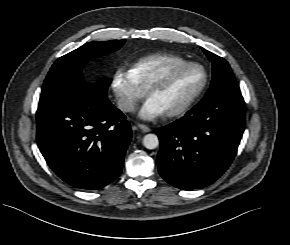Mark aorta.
Returning <instances> with one entry per match:
<instances>
[{"instance_id":"obj_1","label":"aorta","mask_w":290,"mask_h":245,"mask_svg":"<svg viewBox=\"0 0 290 245\" xmlns=\"http://www.w3.org/2000/svg\"><path fill=\"white\" fill-rule=\"evenodd\" d=\"M143 145L147 149H155L159 146V139L155 134H147L143 137Z\"/></svg>"}]
</instances>
